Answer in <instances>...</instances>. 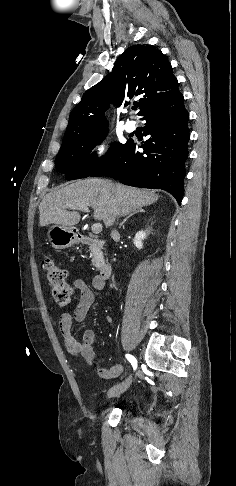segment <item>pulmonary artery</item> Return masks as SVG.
Wrapping results in <instances>:
<instances>
[{
  "mask_svg": "<svg viewBox=\"0 0 236 486\" xmlns=\"http://www.w3.org/2000/svg\"><path fill=\"white\" fill-rule=\"evenodd\" d=\"M124 128L129 133L134 132L136 130V122L133 120H128Z\"/></svg>",
  "mask_w": 236,
  "mask_h": 486,
  "instance_id": "obj_1",
  "label": "pulmonary artery"
}]
</instances>
